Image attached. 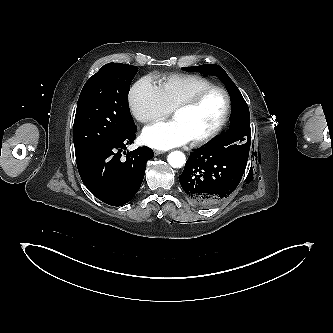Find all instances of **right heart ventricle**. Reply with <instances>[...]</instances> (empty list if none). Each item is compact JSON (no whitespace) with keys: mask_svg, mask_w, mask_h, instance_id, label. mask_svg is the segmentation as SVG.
<instances>
[{"mask_svg":"<svg viewBox=\"0 0 333 333\" xmlns=\"http://www.w3.org/2000/svg\"><path fill=\"white\" fill-rule=\"evenodd\" d=\"M213 83L201 75L172 74L158 82L160 93L170 110Z\"/></svg>","mask_w":333,"mask_h":333,"instance_id":"obj_1","label":"right heart ventricle"}]
</instances>
